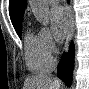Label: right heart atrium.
<instances>
[{
  "mask_svg": "<svg viewBox=\"0 0 89 89\" xmlns=\"http://www.w3.org/2000/svg\"><path fill=\"white\" fill-rule=\"evenodd\" d=\"M38 39L42 52L51 57L55 50V40L51 31L46 27H42L38 32Z\"/></svg>",
  "mask_w": 89,
  "mask_h": 89,
  "instance_id": "d8ad5b80",
  "label": "right heart atrium"
}]
</instances>
